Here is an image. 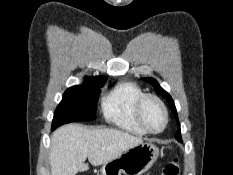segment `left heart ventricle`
Returning <instances> with one entry per match:
<instances>
[{"label": "left heart ventricle", "mask_w": 233, "mask_h": 175, "mask_svg": "<svg viewBox=\"0 0 233 175\" xmlns=\"http://www.w3.org/2000/svg\"><path fill=\"white\" fill-rule=\"evenodd\" d=\"M143 117L152 130H159L164 124V115L160 106L153 100H148L143 107Z\"/></svg>", "instance_id": "b2bd125f"}]
</instances>
